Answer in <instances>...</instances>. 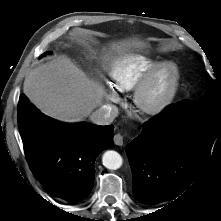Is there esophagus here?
<instances>
[{
	"mask_svg": "<svg viewBox=\"0 0 221 221\" xmlns=\"http://www.w3.org/2000/svg\"><path fill=\"white\" fill-rule=\"evenodd\" d=\"M113 140L116 145H123V136L120 133L115 134Z\"/></svg>",
	"mask_w": 221,
	"mask_h": 221,
	"instance_id": "34e87169",
	"label": "esophagus"
}]
</instances>
